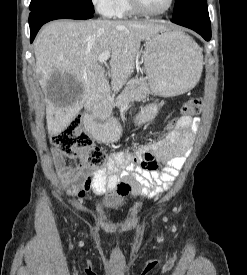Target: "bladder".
<instances>
[{
    "mask_svg": "<svg viewBox=\"0 0 247 275\" xmlns=\"http://www.w3.org/2000/svg\"><path fill=\"white\" fill-rule=\"evenodd\" d=\"M116 209V207L114 205H108L105 207L106 211H114Z\"/></svg>",
    "mask_w": 247,
    "mask_h": 275,
    "instance_id": "31cf9c89",
    "label": "bladder"
}]
</instances>
